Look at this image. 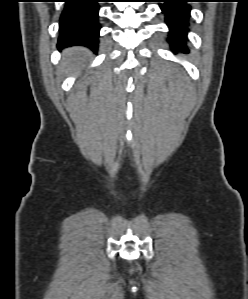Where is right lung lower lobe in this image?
Returning <instances> with one entry per match:
<instances>
[{
	"label": "right lung lower lobe",
	"instance_id": "1",
	"mask_svg": "<svg viewBox=\"0 0 248 299\" xmlns=\"http://www.w3.org/2000/svg\"><path fill=\"white\" fill-rule=\"evenodd\" d=\"M100 0H65L60 16L58 48L81 45L96 51Z\"/></svg>",
	"mask_w": 248,
	"mask_h": 299
}]
</instances>
